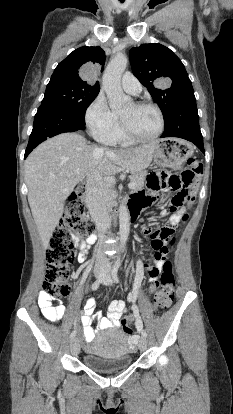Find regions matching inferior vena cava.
Segmentation results:
<instances>
[{
	"instance_id": "obj_1",
	"label": "inferior vena cava",
	"mask_w": 233,
	"mask_h": 414,
	"mask_svg": "<svg viewBox=\"0 0 233 414\" xmlns=\"http://www.w3.org/2000/svg\"><path fill=\"white\" fill-rule=\"evenodd\" d=\"M86 204L90 215L95 222L96 228L100 233H104L110 226V218L106 207L105 190L103 179L99 175L90 174L86 180ZM102 240H108L102 237ZM107 245L106 243L104 244ZM107 253L106 247L100 248L98 264L107 266L109 260L102 254Z\"/></svg>"
}]
</instances>
